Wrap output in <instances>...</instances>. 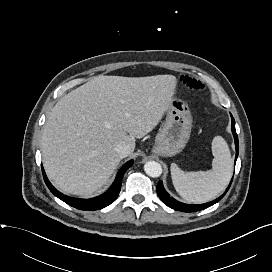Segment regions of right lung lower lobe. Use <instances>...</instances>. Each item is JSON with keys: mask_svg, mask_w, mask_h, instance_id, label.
Here are the masks:
<instances>
[{"mask_svg": "<svg viewBox=\"0 0 272 272\" xmlns=\"http://www.w3.org/2000/svg\"><path fill=\"white\" fill-rule=\"evenodd\" d=\"M133 165V160L128 161L125 163L119 172L117 173L116 179L112 186L109 188L107 192L104 194L92 198V199H77V198H72L63 195L59 191H57L49 182V180L46 177V174L43 170L42 167V172H43V177L46 185L50 189V191L59 199L67 203L68 205L75 207L80 210H85V211H93V210H98L102 209L108 205H110L118 196L120 189H121V183H122V178L126 170Z\"/></svg>", "mask_w": 272, "mask_h": 272, "instance_id": "1", "label": "right lung lower lobe"}]
</instances>
